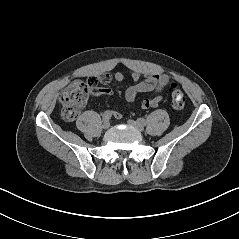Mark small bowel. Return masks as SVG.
Here are the masks:
<instances>
[{
    "instance_id": "obj_1",
    "label": "small bowel",
    "mask_w": 239,
    "mask_h": 239,
    "mask_svg": "<svg viewBox=\"0 0 239 239\" xmlns=\"http://www.w3.org/2000/svg\"><path fill=\"white\" fill-rule=\"evenodd\" d=\"M95 78L98 80V82L107 84L112 79L118 82L124 81L126 79V76L123 72L117 71L113 75L106 73ZM130 79L136 83L127 88V90L125 91V99L128 103L137 102L138 95L140 93L152 94L151 96L141 100V107L143 109L156 107L163 100L165 95L164 88L169 82V77L166 74L149 73L144 77V79L141 80V74L139 72H132L130 74ZM91 93L94 96H108L111 94V91L108 88L95 85L94 87H92ZM117 109L118 108H116L114 114L117 118H120L121 114Z\"/></svg>"
}]
</instances>
